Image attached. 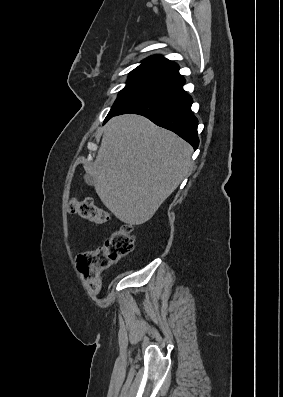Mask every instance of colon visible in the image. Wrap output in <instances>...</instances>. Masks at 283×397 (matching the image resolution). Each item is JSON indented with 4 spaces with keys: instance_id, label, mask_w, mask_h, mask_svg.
Masks as SVG:
<instances>
[{
    "instance_id": "obj_1",
    "label": "colon",
    "mask_w": 283,
    "mask_h": 397,
    "mask_svg": "<svg viewBox=\"0 0 283 397\" xmlns=\"http://www.w3.org/2000/svg\"><path fill=\"white\" fill-rule=\"evenodd\" d=\"M68 211L97 225L105 224L111 218L110 214L98 207L92 199H72L68 204ZM133 248L132 227L122 224L103 245L89 249L78 256V270L91 294L96 295L100 292L102 272L132 252Z\"/></svg>"
}]
</instances>
